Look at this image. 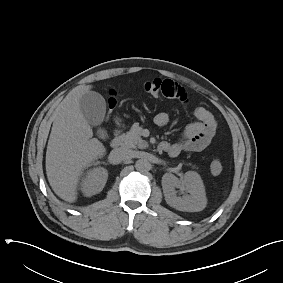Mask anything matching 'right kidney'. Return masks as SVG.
Masks as SVG:
<instances>
[{"instance_id": "ca27d5eb", "label": "right kidney", "mask_w": 283, "mask_h": 283, "mask_svg": "<svg viewBox=\"0 0 283 283\" xmlns=\"http://www.w3.org/2000/svg\"><path fill=\"white\" fill-rule=\"evenodd\" d=\"M108 172L103 167L89 170L82 180L81 190L87 197L101 192L107 182Z\"/></svg>"}]
</instances>
